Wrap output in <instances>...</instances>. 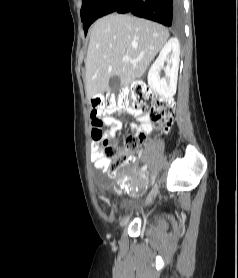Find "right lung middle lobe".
Masks as SVG:
<instances>
[{
	"mask_svg": "<svg viewBox=\"0 0 238 278\" xmlns=\"http://www.w3.org/2000/svg\"><path fill=\"white\" fill-rule=\"evenodd\" d=\"M100 0H83L82 8H81V21L83 22V28L85 34L88 30L87 25V15L89 11L99 2Z\"/></svg>",
	"mask_w": 238,
	"mask_h": 278,
	"instance_id": "1",
	"label": "right lung middle lobe"
}]
</instances>
